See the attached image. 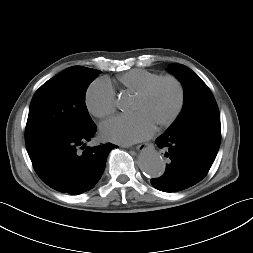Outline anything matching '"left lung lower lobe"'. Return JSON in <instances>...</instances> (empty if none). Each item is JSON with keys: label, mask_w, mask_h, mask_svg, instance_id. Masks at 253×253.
I'll list each match as a JSON object with an SVG mask.
<instances>
[{"label": "left lung lower lobe", "mask_w": 253, "mask_h": 253, "mask_svg": "<svg viewBox=\"0 0 253 253\" xmlns=\"http://www.w3.org/2000/svg\"><path fill=\"white\" fill-rule=\"evenodd\" d=\"M221 141L220 123L201 120L169 128L157 140V146L169 159L163 176L152 179L154 188L176 192L191 187L208 173Z\"/></svg>", "instance_id": "0a47b994"}]
</instances>
